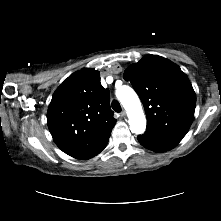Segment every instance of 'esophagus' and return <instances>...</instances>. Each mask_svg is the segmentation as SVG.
I'll use <instances>...</instances> for the list:
<instances>
[{"label":"esophagus","mask_w":221,"mask_h":221,"mask_svg":"<svg viewBox=\"0 0 221 221\" xmlns=\"http://www.w3.org/2000/svg\"><path fill=\"white\" fill-rule=\"evenodd\" d=\"M120 115H121V117H125V116H126V112H125V111H122V112L120 113Z\"/></svg>","instance_id":"esophagus-1"}]
</instances>
